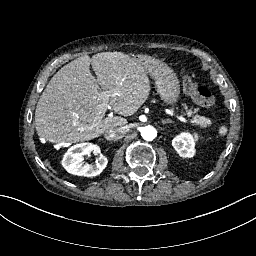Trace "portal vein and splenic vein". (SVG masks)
<instances>
[{"label":"portal vein and splenic vein","mask_w":256,"mask_h":256,"mask_svg":"<svg viewBox=\"0 0 256 256\" xmlns=\"http://www.w3.org/2000/svg\"><path fill=\"white\" fill-rule=\"evenodd\" d=\"M101 94L110 96V95H108V91H103ZM107 108L110 109L109 106H108ZM105 112H106V110L104 111V106H103V104H102V105H101V114H100L98 117H96V119H97V120H96V124H97V122L100 121V119H102V115H103ZM176 119L179 120V122L182 123V124H185V123H186V119H185V118H182L181 115H177V116H176ZM96 124H95V126H96Z\"/></svg>","instance_id":"obj_1"}]
</instances>
